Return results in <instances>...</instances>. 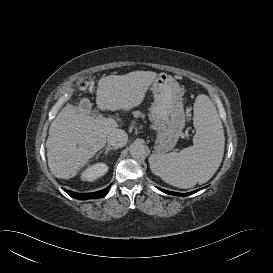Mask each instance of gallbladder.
Here are the masks:
<instances>
[{
    "mask_svg": "<svg viewBox=\"0 0 273 273\" xmlns=\"http://www.w3.org/2000/svg\"><path fill=\"white\" fill-rule=\"evenodd\" d=\"M83 108H87V105H82Z\"/></svg>",
    "mask_w": 273,
    "mask_h": 273,
    "instance_id": "obj_1",
    "label": "gallbladder"
}]
</instances>
